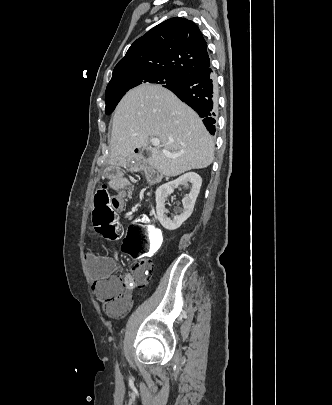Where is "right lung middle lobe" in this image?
<instances>
[{
    "label": "right lung middle lobe",
    "instance_id": "right-lung-middle-lobe-1",
    "mask_svg": "<svg viewBox=\"0 0 332 405\" xmlns=\"http://www.w3.org/2000/svg\"><path fill=\"white\" fill-rule=\"evenodd\" d=\"M184 77L168 73L134 72L118 76L111 80L106 88V114H111L125 93L140 84H160L165 88L179 83Z\"/></svg>",
    "mask_w": 332,
    "mask_h": 405
}]
</instances>
